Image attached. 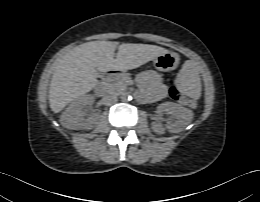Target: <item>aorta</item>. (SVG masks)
<instances>
[{"instance_id": "762f6f07", "label": "aorta", "mask_w": 260, "mask_h": 202, "mask_svg": "<svg viewBox=\"0 0 260 202\" xmlns=\"http://www.w3.org/2000/svg\"><path fill=\"white\" fill-rule=\"evenodd\" d=\"M121 100H122L123 102L130 101V100H132V97L129 95L128 92H124V93H122V95H121Z\"/></svg>"}]
</instances>
